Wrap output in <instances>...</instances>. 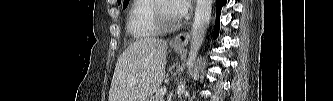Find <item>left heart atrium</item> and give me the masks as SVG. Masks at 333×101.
Wrapping results in <instances>:
<instances>
[{
  "label": "left heart atrium",
  "instance_id": "left-heart-atrium-1",
  "mask_svg": "<svg viewBox=\"0 0 333 101\" xmlns=\"http://www.w3.org/2000/svg\"><path fill=\"white\" fill-rule=\"evenodd\" d=\"M191 1L189 0H173L171 1L169 8L170 12L175 17H182L186 14L190 7Z\"/></svg>",
  "mask_w": 333,
  "mask_h": 101
}]
</instances>
